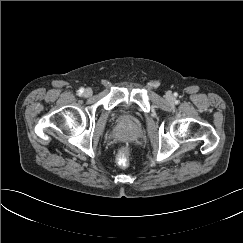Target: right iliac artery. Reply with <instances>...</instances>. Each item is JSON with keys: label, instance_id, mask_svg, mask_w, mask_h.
Returning a JSON list of instances; mask_svg holds the SVG:
<instances>
[{"label": "right iliac artery", "instance_id": "right-iliac-artery-1", "mask_svg": "<svg viewBox=\"0 0 243 243\" xmlns=\"http://www.w3.org/2000/svg\"><path fill=\"white\" fill-rule=\"evenodd\" d=\"M78 92H79V94H82V93L84 92V89H83V88H80V89L78 90Z\"/></svg>", "mask_w": 243, "mask_h": 243}]
</instances>
